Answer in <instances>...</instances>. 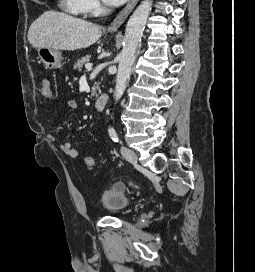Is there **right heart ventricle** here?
Instances as JSON below:
<instances>
[{"label":"right heart ventricle","instance_id":"obj_1","mask_svg":"<svg viewBox=\"0 0 255 272\" xmlns=\"http://www.w3.org/2000/svg\"><path fill=\"white\" fill-rule=\"evenodd\" d=\"M61 8L73 15H80L83 13L80 0H60Z\"/></svg>","mask_w":255,"mask_h":272}]
</instances>
